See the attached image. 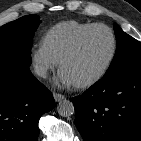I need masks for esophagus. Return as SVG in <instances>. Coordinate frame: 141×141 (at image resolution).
Masks as SVG:
<instances>
[{"label":"esophagus","mask_w":141,"mask_h":141,"mask_svg":"<svg viewBox=\"0 0 141 141\" xmlns=\"http://www.w3.org/2000/svg\"><path fill=\"white\" fill-rule=\"evenodd\" d=\"M53 96L56 102H60L65 99V96L59 93H54Z\"/></svg>","instance_id":"obj_1"}]
</instances>
